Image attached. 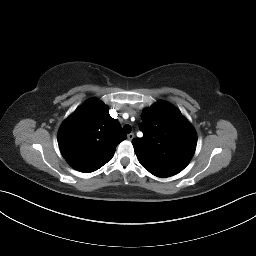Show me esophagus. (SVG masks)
<instances>
[{
  "label": "esophagus",
  "instance_id": "34e87169",
  "mask_svg": "<svg viewBox=\"0 0 256 256\" xmlns=\"http://www.w3.org/2000/svg\"><path fill=\"white\" fill-rule=\"evenodd\" d=\"M127 138H128V140H133V138H134V133H129L128 135H127Z\"/></svg>",
  "mask_w": 256,
  "mask_h": 256
}]
</instances>
